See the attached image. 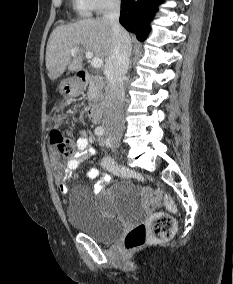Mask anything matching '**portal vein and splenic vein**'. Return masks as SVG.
<instances>
[{"label": "portal vein and splenic vein", "mask_w": 233, "mask_h": 284, "mask_svg": "<svg viewBox=\"0 0 233 284\" xmlns=\"http://www.w3.org/2000/svg\"><path fill=\"white\" fill-rule=\"evenodd\" d=\"M77 51H79V48L75 47L71 49V53L74 54ZM85 55L88 59H91V65L92 67L98 69L103 66V60L97 57H94L93 53L91 51L86 50Z\"/></svg>", "instance_id": "obj_1"}]
</instances>
